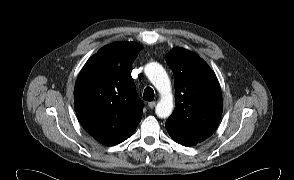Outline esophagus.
<instances>
[{"instance_id": "obj_1", "label": "esophagus", "mask_w": 294, "mask_h": 180, "mask_svg": "<svg viewBox=\"0 0 294 180\" xmlns=\"http://www.w3.org/2000/svg\"><path fill=\"white\" fill-rule=\"evenodd\" d=\"M155 105H156V102H154V101H151L148 103V106L150 109H153L155 107Z\"/></svg>"}]
</instances>
